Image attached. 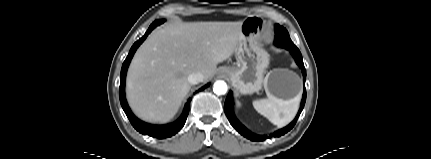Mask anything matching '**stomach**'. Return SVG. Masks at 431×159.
<instances>
[{
	"mask_svg": "<svg viewBox=\"0 0 431 159\" xmlns=\"http://www.w3.org/2000/svg\"><path fill=\"white\" fill-rule=\"evenodd\" d=\"M265 21L257 15L246 17L242 21L241 37L236 49V63L224 67L231 84L241 94H253L261 90L276 98L290 100L301 92L299 76L288 70H273L264 78L269 65V54L259 43Z\"/></svg>",
	"mask_w": 431,
	"mask_h": 159,
	"instance_id": "0dacf381",
	"label": "stomach"
}]
</instances>
